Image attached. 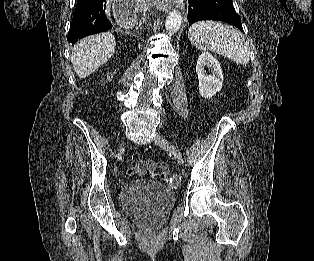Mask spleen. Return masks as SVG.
<instances>
[{
    "label": "spleen",
    "instance_id": "3e777b00",
    "mask_svg": "<svg viewBox=\"0 0 314 261\" xmlns=\"http://www.w3.org/2000/svg\"><path fill=\"white\" fill-rule=\"evenodd\" d=\"M188 38L199 50L213 51L237 64L249 63L248 43L240 31L229 25L214 21H199L189 28Z\"/></svg>",
    "mask_w": 314,
    "mask_h": 261
}]
</instances>
